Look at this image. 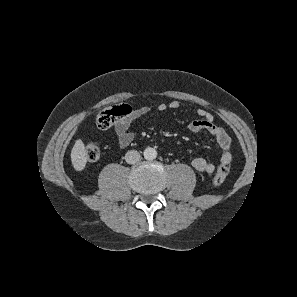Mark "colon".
<instances>
[{
  "instance_id": "obj_1",
  "label": "colon",
  "mask_w": 297,
  "mask_h": 297,
  "mask_svg": "<svg viewBox=\"0 0 297 297\" xmlns=\"http://www.w3.org/2000/svg\"><path fill=\"white\" fill-rule=\"evenodd\" d=\"M132 108L127 104L115 105L103 109L97 116L96 123L99 129L107 130L112 127L119 119L128 116ZM85 155L89 161H95L100 156V150L97 145L89 143L85 147ZM230 170V163H220L217 173L213 178V185L220 186L226 179Z\"/></svg>"
}]
</instances>
